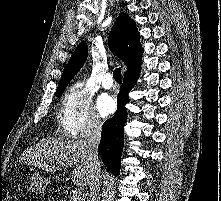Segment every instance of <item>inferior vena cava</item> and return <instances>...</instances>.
I'll return each mask as SVG.
<instances>
[{"instance_id": "1", "label": "inferior vena cava", "mask_w": 221, "mask_h": 201, "mask_svg": "<svg viewBox=\"0 0 221 201\" xmlns=\"http://www.w3.org/2000/svg\"><path fill=\"white\" fill-rule=\"evenodd\" d=\"M101 121L98 117H91L86 127L82 131V138L88 146V156L90 161V200L97 201L100 190V170L101 164L98 157V145L101 139Z\"/></svg>"}]
</instances>
